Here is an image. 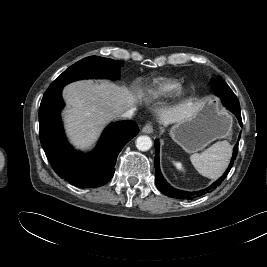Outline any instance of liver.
<instances>
[{"instance_id":"liver-1","label":"liver","mask_w":267,"mask_h":267,"mask_svg":"<svg viewBox=\"0 0 267 267\" xmlns=\"http://www.w3.org/2000/svg\"><path fill=\"white\" fill-rule=\"evenodd\" d=\"M63 96L69 106L63 113L66 131L71 142L84 149L95 142L109 121L132 108L143 93L134 94L109 81L98 84L82 80L67 85ZM199 104L188 101L161 109L159 119L165 125L177 123L195 113Z\"/></svg>"}]
</instances>
